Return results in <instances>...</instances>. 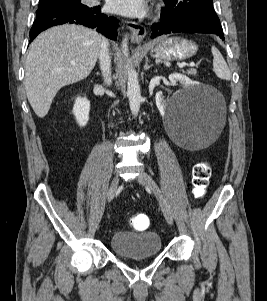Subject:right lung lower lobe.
Listing matches in <instances>:
<instances>
[{
    "mask_svg": "<svg viewBox=\"0 0 267 301\" xmlns=\"http://www.w3.org/2000/svg\"><path fill=\"white\" fill-rule=\"evenodd\" d=\"M65 23L81 24L97 28L98 32L112 40H116L118 20L114 17L101 14L100 6L65 7L39 14L31 28L30 39L33 40L40 32L51 26Z\"/></svg>",
    "mask_w": 267,
    "mask_h": 301,
    "instance_id": "right-lung-lower-lobe-1",
    "label": "right lung lower lobe"
}]
</instances>
